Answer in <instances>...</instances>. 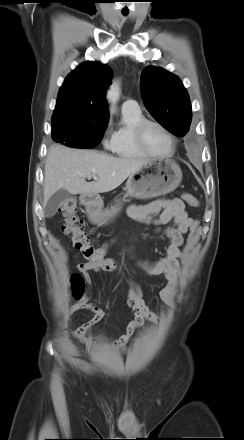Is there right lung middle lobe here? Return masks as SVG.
Returning <instances> with one entry per match:
<instances>
[{"label": "right lung middle lobe", "instance_id": "obj_1", "mask_svg": "<svg viewBox=\"0 0 244 440\" xmlns=\"http://www.w3.org/2000/svg\"><path fill=\"white\" fill-rule=\"evenodd\" d=\"M107 122H52V139L74 148H93L102 140Z\"/></svg>", "mask_w": 244, "mask_h": 440}]
</instances>
